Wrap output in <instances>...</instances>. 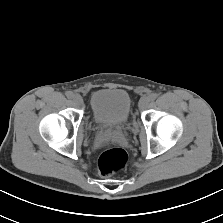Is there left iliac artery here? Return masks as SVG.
Listing matches in <instances>:
<instances>
[{"label":"left iliac artery","instance_id":"obj_1","mask_svg":"<svg viewBox=\"0 0 223 223\" xmlns=\"http://www.w3.org/2000/svg\"><path fill=\"white\" fill-rule=\"evenodd\" d=\"M157 96L158 95L156 93H152V94L149 95V100L154 101L157 98Z\"/></svg>","mask_w":223,"mask_h":223}]
</instances>
